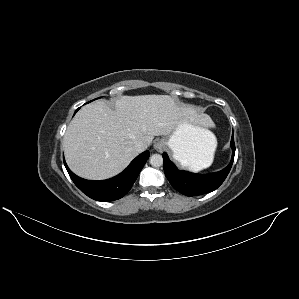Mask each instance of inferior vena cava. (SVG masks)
<instances>
[{"mask_svg":"<svg viewBox=\"0 0 299 299\" xmlns=\"http://www.w3.org/2000/svg\"><path fill=\"white\" fill-rule=\"evenodd\" d=\"M146 148H147V145L143 142H138L134 146V150L138 153L143 152L144 150H146Z\"/></svg>","mask_w":299,"mask_h":299,"instance_id":"1","label":"inferior vena cava"}]
</instances>
